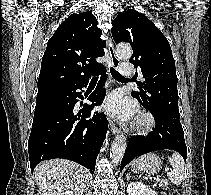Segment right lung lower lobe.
<instances>
[{"label":"right lung lower lobe","instance_id":"98d812e1","mask_svg":"<svg viewBox=\"0 0 211 195\" xmlns=\"http://www.w3.org/2000/svg\"><path fill=\"white\" fill-rule=\"evenodd\" d=\"M106 70L100 72L98 87L89 97L92 104L76 107L83 98L79 89L87 87L88 81L69 83L38 92L32 130L28 141L30 167L44 160L63 158L75 161L90 169L93 174L95 162L107 130L105 115L91 113L94 106L103 102L106 91Z\"/></svg>","mask_w":211,"mask_h":195}]
</instances>
